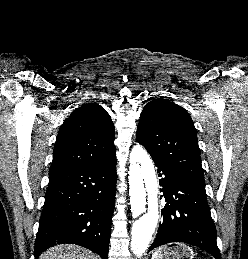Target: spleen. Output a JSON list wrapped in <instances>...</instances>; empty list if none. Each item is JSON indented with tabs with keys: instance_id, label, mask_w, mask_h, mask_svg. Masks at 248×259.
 <instances>
[{
	"instance_id": "3e777b00",
	"label": "spleen",
	"mask_w": 248,
	"mask_h": 259,
	"mask_svg": "<svg viewBox=\"0 0 248 259\" xmlns=\"http://www.w3.org/2000/svg\"><path fill=\"white\" fill-rule=\"evenodd\" d=\"M158 252H159L158 249L155 250V252H154L153 255H152V259H158Z\"/></svg>"
}]
</instances>
